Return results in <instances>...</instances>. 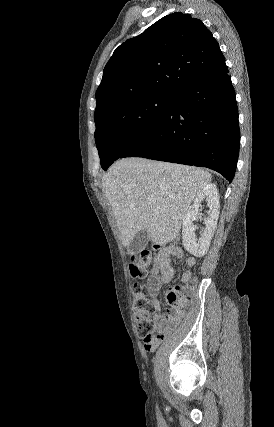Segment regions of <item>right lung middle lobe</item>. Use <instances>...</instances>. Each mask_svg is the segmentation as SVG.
Here are the masks:
<instances>
[{
    "label": "right lung middle lobe",
    "mask_w": 274,
    "mask_h": 427,
    "mask_svg": "<svg viewBox=\"0 0 274 427\" xmlns=\"http://www.w3.org/2000/svg\"><path fill=\"white\" fill-rule=\"evenodd\" d=\"M173 97L171 94L133 96L95 117L96 146L104 170L161 121Z\"/></svg>",
    "instance_id": "obj_1"
}]
</instances>
